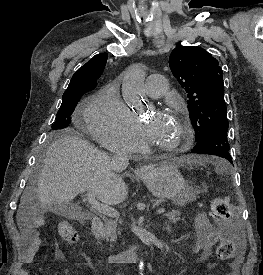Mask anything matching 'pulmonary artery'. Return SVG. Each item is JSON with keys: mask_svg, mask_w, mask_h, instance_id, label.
<instances>
[{"mask_svg": "<svg viewBox=\"0 0 263 275\" xmlns=\"http://www.w3.org/2000/svg\"><path fill=\"white\" fill-rule=\"evenodd\" d=\"M167 81L160 74H152L146 80V93L151 98H160L167 92Z\"/></svg>", "mask_w": 263, "mask_h": 275, "instance_id": "obj_1", "label": "pulmonary artery"}]
</instances>
